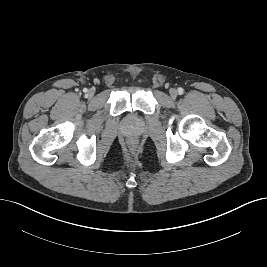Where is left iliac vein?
Masks as SVG:
<instances>
[{"mask_svg":"<svg viewBox=\"0 0 267 267\" xmlns=\"http://www.w3.org/2000/svg\"><path fill=\"white\" fill-rule=\"evenodd\" d=\"M177 94H178V92H177L176 89H171L170 90V95H171L172 98H176L177 97Z\"/></svg>","mask_w":267,"mask_h":267,"instance_id":"4c4485c4","label":"left iliac vein"}]
</instances>
